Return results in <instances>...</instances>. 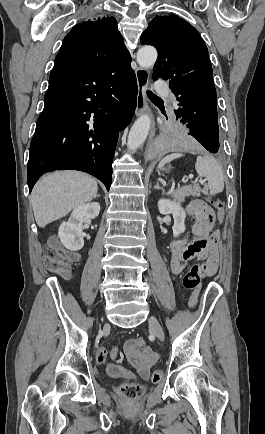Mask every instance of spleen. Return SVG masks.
Returning a JSON list of instances; mask_svg holds the SVG:
<instances>
[{
  "label": "spleen",
  "instance_id": "1",
  "mask_svg": "<svg viewBox=\"0 0 265 434\" xmlns=\"http://www.w3.org/2000/svg\"><path fill=\"white\" fill-rule=\"evenodd\" d=\"M181 156H183V154H170V156H166V158H163V160L159 162V170H163L165 164H169V162L176 160V158H181ZM195 170L198 176H203V178H206L208 182L206 188L201 190L202 194H205V196H215V194L223 192V170L221 166H219L217 160H214V158H211V156H208V154H204V156H198L195 164Z\"/></svg>",
  "mask_w": 265,
  "mask_h": 434
}]
</instances>
